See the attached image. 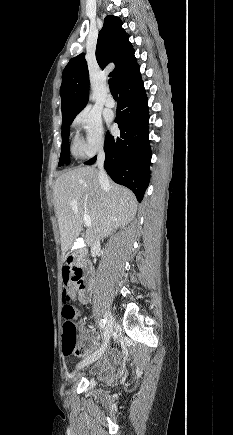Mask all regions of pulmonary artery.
<instances>
[{
	"mask_svg": "<svg viewBox=\"0 0 233 435\" xmlns=\"http://www.w3.org/2000/svg\"><path fill=\"white\" fill-rule=\"evenodd\" d=\"M105 104H106L107 107L112 108V107L115 106L116 102H115L114 98L111 95H108L107 98H106Z\"/></svg>",
	"mask_w": 233,
	"mask_h": 435,
	"instance_id": "obj_1",
	"label": "pulmonary artery"
}]
</instances>
